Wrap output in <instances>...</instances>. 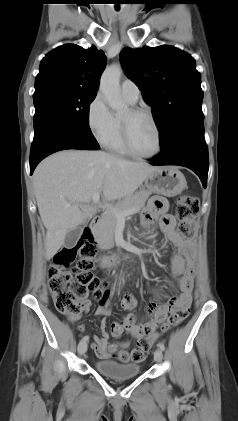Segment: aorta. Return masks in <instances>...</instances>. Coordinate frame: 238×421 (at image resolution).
I'll list each match as a JSON object with an SVG mask.
<instances>
[{
  "label": "aorta",
  "mask_w": 238,
  "mask_h": 421,
  "mask_svg": "<svg viewBox=\"0 0 238 421\" xmlns=\"http://www.w3.org/2000/svg\"><path fill=\"white\" fill-rule=\"evenodd\" d=\"M122 67L119 64H113L107 67L100 79V92L108 102L109 106L116 111L126 108V104L120 95V77Z\"/></svg>",
  "instance_id": "1"
}]
</instances>
